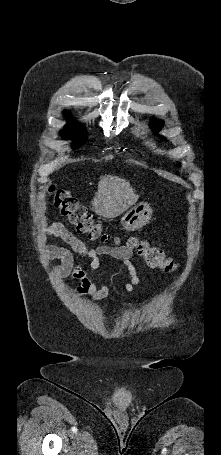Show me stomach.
<instances>
[{
	"mask_svg": "<svg viewBox=\"0 0 221 455\" xmlns=\"http://www.w3.org/2000/svg\"><path fill=\"white\" fill-rule=\"evenodd\" d=\"M152 208L147 202L133 205L121 218V226L126 231H134L145 226L152 217Z\"/></svg>",
	"mask_w": 221,
	"mask_h": 455,
	"instance_id": "stomach-1",
	"label": "stomach"
}]
</instances>
